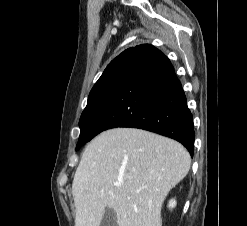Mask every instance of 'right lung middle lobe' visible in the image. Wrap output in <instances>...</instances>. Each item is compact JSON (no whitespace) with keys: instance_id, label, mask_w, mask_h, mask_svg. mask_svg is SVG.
I'll use <instances>...</instances> for the list:
<instances>
[{"instance_id":"obj_1","label":"right lung middle lobe","mask_w":247,"mask_h":226,"mask_svg":"<svg viewBox=\"0 0 247 226\" xmlns=\"http://www.w3.org/2000/svg\"><path fill=\"white\" fill-rule=\"evenodd\" d=\"M126 61L127 59H123L116 62L101 75L92 88L87 106L80 117V137L76 150L90 140L93 128L118 83Z\"/></svg>"}]
</instances>
